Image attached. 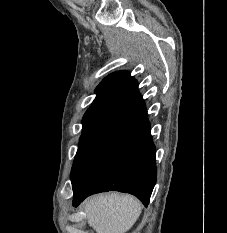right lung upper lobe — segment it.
Returning <instances> with one entry per match:
<instances>
[{
    "mask_svg": "<svg viewBox=\"0 0 227 233\" xmlns=\"http://www.w3.org/2000/svg\"><path fill=\"white\" fill-rule=\"evenodd\" d=\"M95 91L97 96L83 117L82 134L120 137L147 121L137 81L127 71L108 75Z\"/></svg>",
    "mask_w": 227,
    "mask_h": 233,
    "instance_id": "right-lung-upper-lobe-1",
    "label": "right lung upper lobe"
}]
</instances>
